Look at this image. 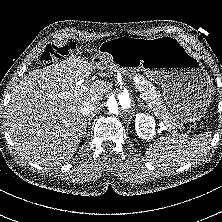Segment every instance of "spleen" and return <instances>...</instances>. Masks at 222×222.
Returning <instances> with one entry per match:
<instances>
[{
  "label": "spleen",
  "instance_id": "3e777b00",
  "mask_svg": "<svg viewBox=\"0 0 222 222\" xmlns=\"http://www.w3.org/2000/svg\"><path fill=\"white\" fill-rule=\"evenodd\" d=\"M210 134H200L190 140H177L170 136L160 137L147 155L150 161L164 166H180L192 163L208 150Z\"/></svg>",
  "mask_w": 222,
  "mask_h": 222
}]
</instances>
